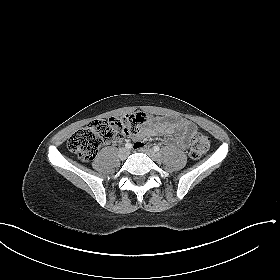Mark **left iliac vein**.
<instances>
[{"label": "left iliac vein", "mask_w": 280, "mask_h": 280, "mask_svg": "<svg viewBox=\"0 0 280 280\" xmlns=\"http://www.w3.org/2000/svg\"><path fill=\"white\" fill-rule=\"evenodd\" d=\"M142 152L147 154L153 160H158L159 159V154L157 152H155L154 150L150 149V148H144V149H142Z\"/></svg>", "instance_id": "1"}]
</instances>
